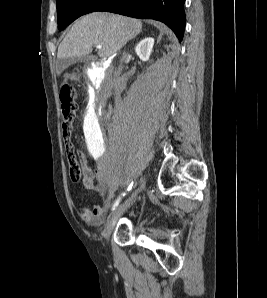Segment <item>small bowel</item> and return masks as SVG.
<instances>
[{
    "label": "small bowel",
    "mask_w": 267,
    "mask_h": 298,
    "mask_svg": "<svg viewBox=\"0 0 267 298\" xmlns=\"http://www.w3.org/2000/svg\"><path fill=\"white\" fill-rule=\"evenodd\" d=\"M82 172H83V187L86 190L95 191L103 199L102 205H95L93 208L83 207L80 209V217L87 224L96 226L102 223L104 215L106 214L109 204L114 197L116 188L112 187L109 190H103L96 182V171L92 170L86 160H82Z\"/></svg>",
    "instance_id": "1"
}]
</instances>
